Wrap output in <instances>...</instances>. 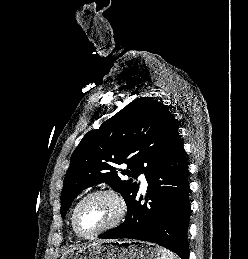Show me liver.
<instances>
[{
	"label": "liver",
	"mask_w": 248,
	"mask_h": 259,
	"mask_svg": "<svg viewBox=\"0 0 248 259\" xmlns=\"http://www.w3.org/2000/svg\"><path fill=\"white\" fill-rule=\"evenodd\" d=\"M101 242H106V241L104 240V241H101ZM93 244H95V243H93Z\"/></svg>",
	"instance_id": "1"
}]
</instances>
